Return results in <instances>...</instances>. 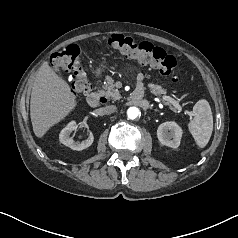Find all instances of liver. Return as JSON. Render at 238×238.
Instances as JSON below:
<instances>
[{
  "label": "liver",
  "instance_id": "6515ba94",
  "mask_svg": "<svg viewBox=\"0 0 238 238\" xmlns=\"http://www.w3.org/2000/svg\"><path fill=\"white\" fill-rule=\"evenodd\" d=\"M77 103L68 83L44 62L37 71L30 100L34 134L41 138L50 127L63 120Z\"/></svg>",
  "mask_w": 238,
  "mask_h": 238
}]
</instances>
